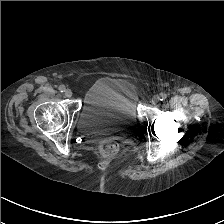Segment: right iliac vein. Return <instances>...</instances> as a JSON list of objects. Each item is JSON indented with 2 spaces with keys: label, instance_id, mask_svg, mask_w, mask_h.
<instances>
[{
  "label": "right iliac vein",
  "instance_id": "1",
  "mask_svg": "<svg viewBox=\"0 0 224 224\" xmlns=\"http://www.w3.org/2000/svg\"><path fill=\"white\" fill-rule=\"evenodd\" d=\"M64 94H65L66 97H71L73 92L70 89H67V90H65Z\"/></svg>",
  "mask_w": 224,
  "mask_h": 224
}]
</instances>
